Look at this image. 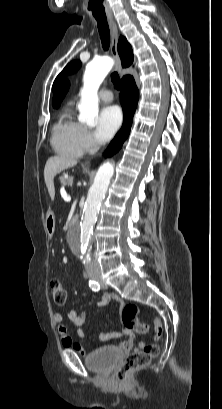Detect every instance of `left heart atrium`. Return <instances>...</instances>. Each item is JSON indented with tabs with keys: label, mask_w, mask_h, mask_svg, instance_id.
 <instances>
[{
	"label": "left heart atrium",
	"mask_w": 222,
	"mask_h": 409,
	"mask_svg": "<svg viewBox=\"0 0 222 409\" xmlns=\"http://www.w3.org/2000/svg\"><path fill=\"white\" fill-rule=\"evenodd\" d=\"M122 121L121 111L116 106L104 107L98 117L95 130L96 138L100 142H106L113 137Z\"/></svg>",
	"instance_id": "obj_1"
}]
</instances>
